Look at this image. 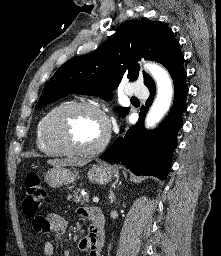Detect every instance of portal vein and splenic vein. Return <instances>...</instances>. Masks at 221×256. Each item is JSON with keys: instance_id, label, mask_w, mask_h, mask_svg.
Here are the masks:
<instances>
[{"instance_id": "1", "label": "portal vein and splenic vein", "mask_w": 221, "mask_h": 256, "mask_svg": "<svg viewBox=\"0 0 221 256\" xmlns=\"http://www.w3.org/2000/svg\"><path fill=\"white\" fill-rule=\"evenodd\" d=\"M92 201H93L94 203H98V202H99V198L94 196V197L92 198Z\"/></svg>"}]
</instances>
